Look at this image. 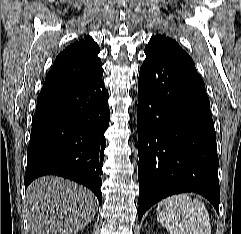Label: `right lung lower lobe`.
<instances>
[{
    "label": "right lung lower lobe",
    "mask_w": 241,
    "mask_h": 234,
    "mask_svg": "<svg viewBox=\"0 0 241 234\" xmlns=\"http://www.w3.org/2000/svg\"><path fill=\"white\" fill-rule=\"evenodd\" d=\"M108 97L102 68L75 82L41 90L27 150L25 189L40 176L58 175L88 187L102 203Z\"/></svg>",
    "instance_id": "98d812e1"
}]
</instances>
